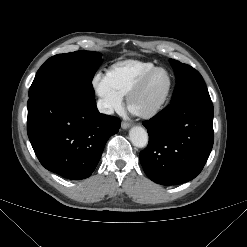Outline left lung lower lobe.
<instances>
[{"instance_id":"left-lung-lower-lobe-1","label":"left lung lower lobe","mask_w":247,"mask_h":247,"mask_svg":"<svg viewBox=\"0 0 247 247\" xmlns=\"http://www.w3.org/2000/svg\"><path fill=\"white\" fill-rule=\"evenodd\" d=\"M213 104L209 95L170 103L143 125L148 146L140 152L146 175L162 185H178L195 178L213 146Z\"/></svg>"}]
</instances>
